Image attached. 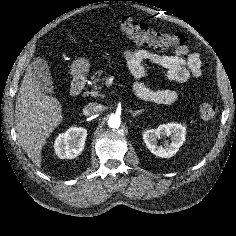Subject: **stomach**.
Listing matches in <instances>:
<instances>
[{
    "label": "stomach",
    "instance_id": "0dacf381",
    "mask_svg": "<svg viewBox=\"0 0 236 236\" xmlns=\"http://www.w3.org/2000/svg\"><path fill=\"white\" fill-rule=\"evenodd\" d=\"M89 71V61L80 58L77 59L71 66V73L75 77H82Z\"/></svg>",
    "mask_w": 236,
    "mask_h": 236
}]
</instances>
